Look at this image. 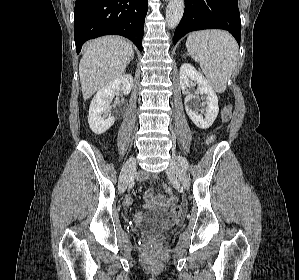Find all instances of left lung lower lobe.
Returning <instances> with one entry per match:
<instances>
[{"instance_id": "left-lung-lower-lobe-1", "label": "left lung lower lobe", "mask_w": 299, "mask_h": 280, "mask_svg": "<svg viewBox=\"0 0 299 280\" xmlns=\"http://www.w3.org/2000/svg\"><path fill=\"white\" fill-rule=\"evenodd\" d=\"M202 29H224L240 44L241 20L238 0H187L174 33V45L185 34Z\"/></svg>"}]
</instances>
